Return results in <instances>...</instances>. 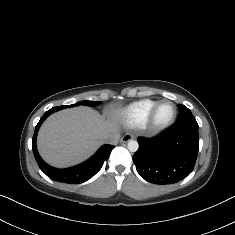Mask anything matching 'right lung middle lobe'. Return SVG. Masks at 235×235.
I'll return each mask as SVG.
<instances>
[{
    "label": "right lung middle lobe",
    "mask_w": 235,
    "mask_h": 235,
    "mask_svg": "<svg viewBox=\"0 0 235 235\" xmlns=\"http://www.w3.org/2000/svg\"><path fill=\"white\" fill-rule=\"evenodd\" d=\"M98 104H100V101H81V102H78V103L73 104V105L54 107L53 110L58 111V110H61V109H64V108L74 107V106H78V105L96 106Z\"/></svg>",
    "instance_id": "obj_1"
}]
</instances>
